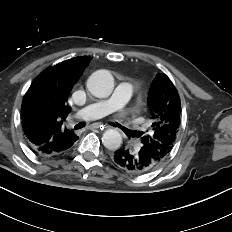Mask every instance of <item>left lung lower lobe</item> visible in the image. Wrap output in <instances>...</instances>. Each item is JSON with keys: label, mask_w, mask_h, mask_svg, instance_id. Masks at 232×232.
<instances>
[{"label": "left lung lower lobe", "mask_w": 232, "mask_h": 232, "mask_svg": "<svg viewBox=\"0 0 232 232\" xmlns=\"http://www.w3.org/2000/svg\"><path fill=\"white\" fill-rule=\"evenodd\" d=\"M112 160L118 168L133 175L152 172L159 165L141 149L135 153L129 149H118L114 152Z\"/></svg>", "instance_id": "obj_1"}]
</instances>
